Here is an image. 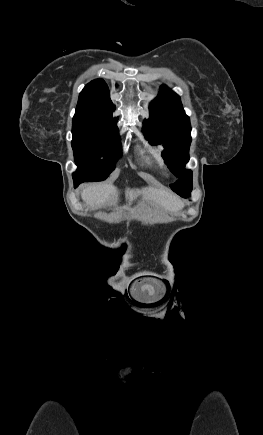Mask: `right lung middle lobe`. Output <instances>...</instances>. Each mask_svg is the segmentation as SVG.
<instances>
[{
	"mask_svg": "<svg viewBox=\"0 0 263 435\" xmlns=\"http://www.w3.org/2000/svg\"><path fill=\"white\" fill-rule=\"evenodd\" d=\"M72 134V147L78 166L73 174L74 181L105 180L115 169V162L121 156L118 130L73 120ZM101 156H104L103 160H100Z\"/></svg>",
	"mask_w": 263,
	"mask_h": 435,
	"instance_id": "obj_1",
	"label": "right lung middle lobe"
}]
</instances>
